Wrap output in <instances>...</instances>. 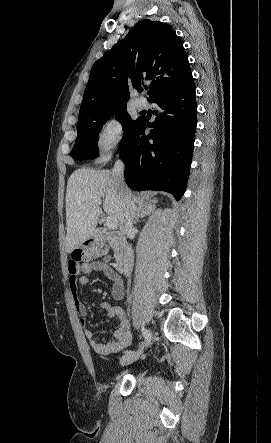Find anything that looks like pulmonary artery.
I'll use <instances>...</instances> for the list:
<instances>
[{
    "instance_id": "obj_1",
    "label": "pulmonary artery",
    "mask_w": 271,
    "mask_h": 443,
    "mask_svg": "<svg viewBox=\"0 0 271 443\" xmlns=\"http://www.w3.org/2000/svg\"><path fill=\"white\" fill-rule=\"evenodd\" d=\"M135 106L138 110H145L148 108L149 106V102L147 101V99L145 97H137L135 100Z\"/></svg>"
}]
</instances>
